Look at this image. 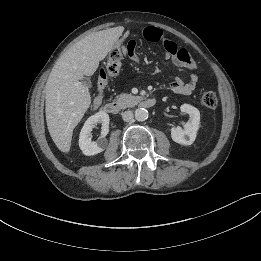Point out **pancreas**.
<instances>
[{
    "mask_svg": "<svg viewBox=\"0 0 261 261\" xmlns=\"http://www.w3.org/2000/svg\"><path fill=\"white\" fill-rule=\"evenodd\" d=\"M138 99V96L123 93L117 96V103L121 106V108H127L132 106Z\"/></svg>",
    "mask_w": 261,
    "mask_h": 261,
    "instance_id": "1",
    "label": "pancreas"
}]
</instances>
